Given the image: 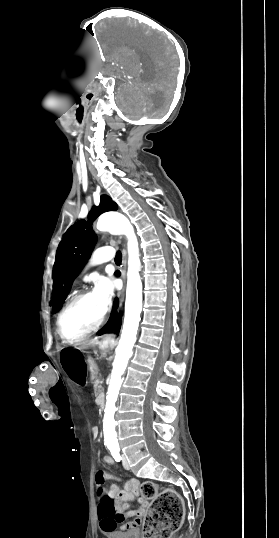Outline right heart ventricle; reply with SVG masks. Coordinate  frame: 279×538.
Returning <instances> with one entry per match:
<instances>
[{"label": "right heart ventricle", "instance_id": "1", "mask_svg": "<svg viewBox=\"0 0 279 538\" xmlns=\"http://www.w3.org/2000/svg\"><path fill=\"white\" fill-rule=\"evenodd\" d=\"M95 227H96V223L94 224V230H95Z\"/></svg>", "mask_w": 279, "mask_h": 538}]
</instances>
